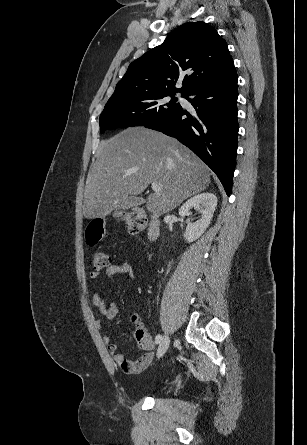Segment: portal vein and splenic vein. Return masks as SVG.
<instances>
[{
    "instance_id": "1",
    "label": "portal vein and splenic vein",
    "mask_w": 307,
    "mask_h": 445,
    "mask_svg": "<svg viewBox=\"0 0 307 445\" xmlns=\"http://www.w3.org/2000/svg\"><path fill=\"white\" fill-rule=\"evenodd\" d=\"M151 188H153V190H160L161 186H159L157 182H151Z\"/></svg>"
}]
</instances>
